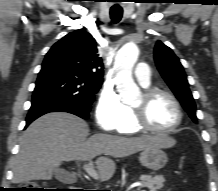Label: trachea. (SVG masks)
<instances>
[{
  "instance_id": "1",
  "label": "trachea",
  "mask_w": 218,
  "mask_h": 191,
  "mask_svg": "<svg viewBox=\"0 0 218 191\" xmlns=\"http://www.w3.org/2000/svg\"><path fill=\"white\" fill-rule=\"evenodd\" d=\"M123 10L120 8H111L110 17L113 23H118L122 18Z\"/></svg>"
}]
</instances>
